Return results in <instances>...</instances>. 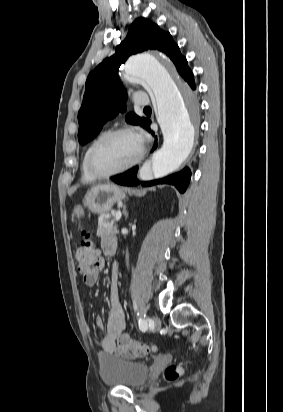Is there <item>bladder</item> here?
<instances>
[{"label": "bladder", "mask_w": 283, "mask_h": 412, "mask_svg": "<svg viewBox=\"0 0 283 412\" xmlns=\"http://www.w3.org/2000/svg\"><path fill=\"white\" fill-rule=\"evenodd\" d=\"M99 372L102 382L108 387L137 389L146 383L149 368L137 361L102 357Z\"/></svg>", "instance_id": "obj_1"}]
</instances>
